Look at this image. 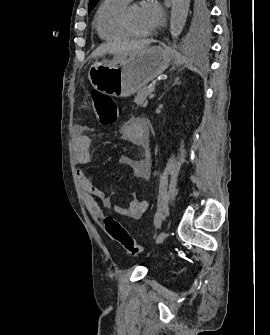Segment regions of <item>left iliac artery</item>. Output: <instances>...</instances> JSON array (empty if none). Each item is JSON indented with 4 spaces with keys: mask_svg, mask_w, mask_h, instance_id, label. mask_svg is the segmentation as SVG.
Segmentation results:
<instances>
[{
    "mask_svg": "<svg viewBox=\"0 0 270 335\" xmlns=\"http://www.w3.org/2000/svg\"><path fill=\"white\" fill-rule=\"evenodd\" d=\"M161 218L159 216H157L154 220V224L157 228H160L161 227Z\"/></svg>",
    "mask_w": 270,
    "mask_h": 335,
    "instance_id": "obj_1",
    "label": "left iliac artery"
}]
</instances>
